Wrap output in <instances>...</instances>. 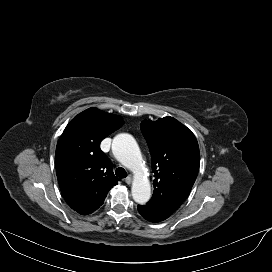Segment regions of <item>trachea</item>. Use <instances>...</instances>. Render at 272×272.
I'll list each match as a JSON object with an SVG mask.
<instances>
[{
    "instance_id": "3493384b",
    "label": "trachea",
    "mask_w": 272,
    "mask_h": 272,
    "mask_svg": "<svg viewBox=\"0 0 272 272\" xmlns=\"http://www.w3.org/2000/svg\"><path fill=\"white\" fill-rule=\"evenodd\" d=\"M115 174L119 177V178H126L127 177V172L125 171L124 168L122 167H118L115 170Z\"/></svg>"
}]
</instances>
